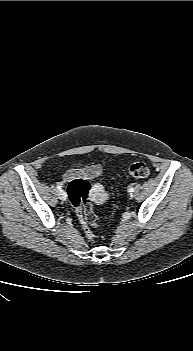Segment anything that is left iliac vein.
Wrapping results in <instances>:
<instances>
[{
	"mask_svg": "<svg viewBox=\"0 0 193 351\" xmlns=\"http://www.w3.org/2000/svg\"><path fill=\"white\" fill-rule=\"evenodd\" d=\"M134 194L133 193H130V198H133Z\"/></svg>",
	"mask_w": 193,
	"mask_h": 351,
	"instance_id": "1",
	"label": "left iliac vein"
}]
</instances>
